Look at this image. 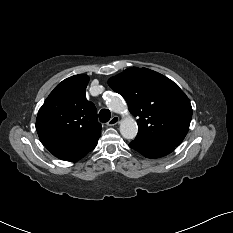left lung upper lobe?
<instances>
[{
  "instance_id": "obj_1",
  "label": "left lung upper lobe",
  "mask_w": 233,
  "mask_h": 233,
  "mask_svg": "<svg viewBox=\"0 0 233 233\" xmlns=\"http://www.w3.org/2000/svg\"><path fill=\"white\" fill-rule=\"evenodd\" d=\"M138 117L136 139L178 146L192 118L188 97L172 80L147 68L131 67L108 80Z\"/></svg>"
}]
</instances>
